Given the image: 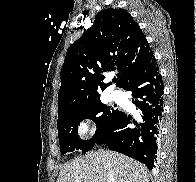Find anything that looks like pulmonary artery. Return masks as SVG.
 Returning <instances> with one entry per match:
<instances>
[{
  "label": "pulmonary artery",
  "instance_id": "pulmonary-artery-1",
  "mask_svg": "<svg viewBox=\"0 0 196 182\" xmlns=\"http://www.w3.org/2000/svg\"><path fill=\"white\" fill-rule=\"evenodd\" d=\"M112 97H113L114 99H117V98L119 97V92H118V91H113V92H112Z\"/></svg>",
  "mask_w": 196,
  "mask_h": 182
}]
</instances>
